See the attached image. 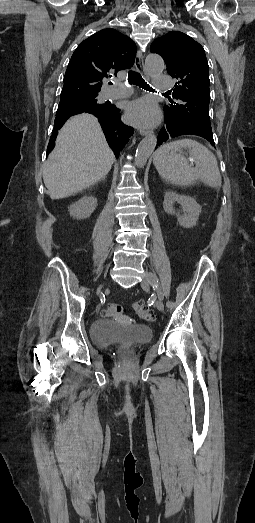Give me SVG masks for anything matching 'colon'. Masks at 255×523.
Segmentation results:
<instances>
[{"label":"colon","instance_id":"colon-1","mask_svg":"<svg viewBox=\"0 0 255 523\" xmlns=\"http://www.w3.org/2000/svg\"><path fill=\"white\" fill-rule=\"evenodd\" d=\"M133 310L135 313L145 321H151L153 319L152 313L147 309L143 301H137L133 304ZM123 312V307L119 304H110L104 311L107 315H120Z\"/></svg>","mask_w":255,"mask_h":523}]
</instances>
